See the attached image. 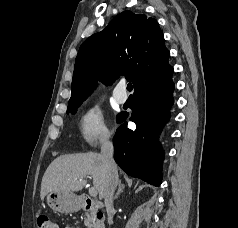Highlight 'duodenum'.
<instances>
[{
	"mask_svg": "<svg viewBox=\"0 0 238 228\" xmlns=\"http://www.w3.org/2000/svg\"><path fill=\"white\" fill-rule=\"evenodd\" d=\"M79 206L84 210H92L97 207L96 203L88 196H80L79 197ZM96 224L95 228H105L103 223V213L97 212L95 215Z\"/></svg>",
	"mask_w": 238,
	"mask_h": 228,
	"instance_id": "410a0bca",
	"label": "duodenum"
}]
</instances>
